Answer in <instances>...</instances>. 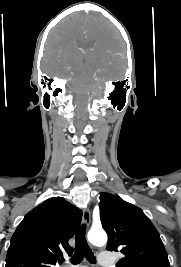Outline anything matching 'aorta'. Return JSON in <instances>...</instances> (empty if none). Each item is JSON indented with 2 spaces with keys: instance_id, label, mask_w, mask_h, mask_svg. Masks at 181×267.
Segmentation results:
<instances>
[{
  "instance_id": "1",
  "label": "aorta",
  "mask_w": 181,
  "mask_h": 267,
  "mask_svg": "<svg viewBox=\"0 0 181 267\" xmlns=\"http://www.w3.org/2000/svg\"><path fill=\"white\" fill-rule=\"evenodd\" d=\"M88 240L94 246H104L107 243V234L103 230H90L88 232Z\"/></svg>"
}]
</instances>
